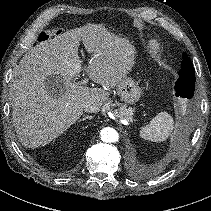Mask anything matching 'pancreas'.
I'll use <instances>...</instances> for the list:
<instances>
[{"label": "pancreas", "mask_w": 211, "mask_h": 211, "mask_svg": "<svg viewBox=\"0 0 211 211\" xmlns=\"http://www.w3.org/2000/svg\"><path fill=\"white\" fill-rule=\"evenodd\" d=\"M105 108L107 110H110L116 118L126 120L129 122L132 121V114L134 110L131 107L127 108L126 104L108 100L105 104Z\"/></svg>", "instance_id": "1"}]
</instances>
